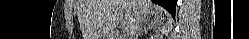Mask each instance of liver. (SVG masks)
I'll return each mask as SVG.
<instances>
[{"label":"liver","mask_w":249,"mask_h":39,"mask_svg":"<svg viewBox=\"0 0 249 39\" xmlns=\"http://www.w3.org/2000/svg\"><path fill=\"white\" fill-rule=\"evenodd\" d=\"M162 12L150 0H82L78 11L84 39H111L120 22L127 30L138 13L145 16Z\"/></svg>","instance_id":"1"}]
</instances>
